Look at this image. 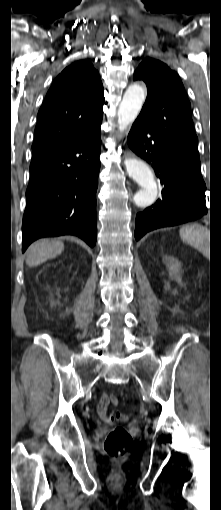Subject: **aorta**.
Here are the masks:
<instances>
[{
	"mask_svg": "<svg viewBox=\"0 0 221 510\" xmlns=\"http://www.w3.org/2000/svg\"><path fill=\"white\" fill-rule=\"evenodd\" d=\"M145 97L146 92L140 85L133 84L128 87L117 114L120 130H126L135 121ZM124 163L128 175L140 186V190L133 197L134 203L141 208L150 206L157 196V183L150 167L136 158H128Z\"/></svg>",
	"mask_w": 221,
	"mask_h": 510,
	"instance_id": "aorta-1",
	"label": "aorta"
}]
</instances>
